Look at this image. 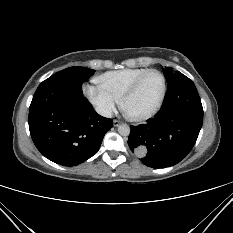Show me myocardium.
I'll list each match as a JSON object with an SVG mask.
<instances>
[{
	"label": "myocardium",
	"mask_w": 233,
	"mask_h": 233,
	"mask_svg": "<svg viewBox=\"0 0 233 233\" xmlns=\"http://www.w3.org/2000/svg\"><path fill=\"white\" fill-rule=\"evenodd\" d=\"M151 73H157L161 79H162V91H161V95L160 98L157 102V104L148 112L144 113V114H140V115H135V114H131L126 110V103L129 100V98L131 96H133L137 90L139 89L142 81L145 79L146 76H148ZM166 92H167V81H166V77L165 75L157 70V69H149L147 71H145L144 73H142L131 85L130 87L124 92V94L122 95L121 99H120V104H121V108L123 110V112L125 113V115L130 118L131 120L134 121H144L147 120L151 117H153L154 115H156L158 113V111L160 110V108L162 107V104L164 102L165 96H166Z\"/></svg>",
	"instance_id": "1"
}]
</instances>
